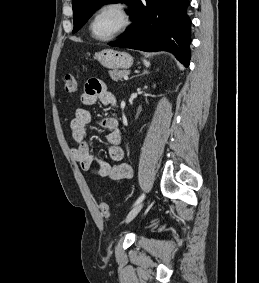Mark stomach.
<instances>
[{
  "label": "stomach",
  "mask_w": 259,
  "mask_h": 283,
  "mask_svg": "<svg viewBox=\"0 0 259 283\" xmlns=\"http://www.w3.org/2000/svg\"><path fill=\"white\" fill-rule=\"evenodd\" d=\"M95 58L101 65L109 69H127L133 64V57L130 54L113 49L97 52Z\"/></svg>",
  "instance_id": "0dacf381"
}]
</instances>
